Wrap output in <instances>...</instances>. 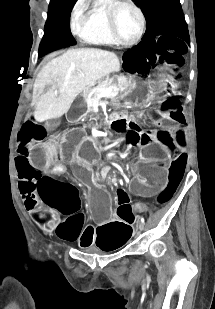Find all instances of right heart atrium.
Returning a JSON list of instances; mask_svg holds the SVG:
<instances>
[{
    "mask_svg": "<svg viewBox=\"0 0 215 309\" xmlns=\"http://www.w3.org/2000/svg\"><path fill=\"white\" fill-rule=\"evenodd\" d=\"M80 19V15L77 11H73L72 12V16H71V20H72V24H76Z\"/></svg>",
    "mask_w": 215,
    "mask_h": 309,
    "instance_id": "obj_1",
    "label": "right heart atrium"
}]
</instances>
